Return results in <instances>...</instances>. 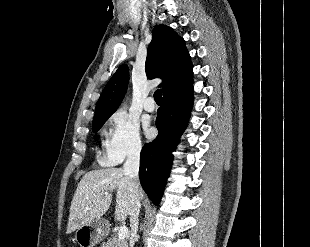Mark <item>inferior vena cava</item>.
Returning a JSON list of instances; mask_svg holds the SVG:
<instances>
[{
    "label": "inferior vena cava",
    "instance_id": "1",
    "mask_svg": "<svg viewBox=\"0 0 310 247\" xmlns=\"http://www.w3.org/2000/svg\"><path fill=\"white\" fill-rule=\"evenodd\" d=\"M140 151L141 145H138L131 149L128 153L127 159L124 163V172L130 178L131 181V192L133 206L130 213V227H131V237H130V247L134 246L137 240V227H138V216L140 211V200L138 198V189L140 187L138 172L140 164Z\"/></svg>",
    "mask_w": 310,
    "mask_h": 247
}]
</instances>
